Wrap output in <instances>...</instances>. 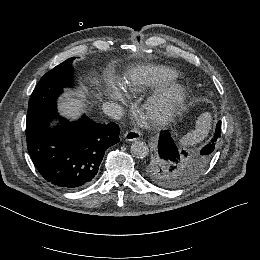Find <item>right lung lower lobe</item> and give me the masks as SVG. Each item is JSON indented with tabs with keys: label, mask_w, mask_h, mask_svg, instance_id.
Wrapping results in <instances>:
<instances>
[{
	"label": "right lung lower lobe",
	"mask_w": 260,
	"mask_h": 260,
	"mask_svg": "<svg viewBox=\"0 0 260 260\" xmlns=\"http://www.w3.org/2000/svg\"><path fill=\"white\" fill-rule=\"evenodd\" d=\"M60 125L50 128L52 119ZM119 127L92 121L85 115L68 122L58 114L26 128L28 152L39 173L63 190L82 189L91 184L107 148L118 143Z\"/></svg>",
	"instance_id": "98d812e1"
}]
</instances>
